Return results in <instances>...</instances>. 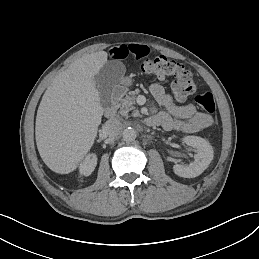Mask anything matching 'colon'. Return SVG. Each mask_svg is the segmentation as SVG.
Segmentation results:
<instances>
[{
	"instance_id": "1",
	"label": "colon",
	"mask_w": 259,
	"mask_h": 259,
	"mask_svg": "<svg viewBox=\"0 0 259 259\" xmlns=\"http://www.w3.org/2000/svg\"><path fill=\"white\" fill-rule=\"evenodd\" d=\"M142 70L146 74L159 79H172V89L176 99L182 100L195 91V83L191 73L185 67L164 56L145 61ZM195 102L207 113L215 111V101L209 91L201 90L195 95Z\"/></svg>"
}]
</instances>
